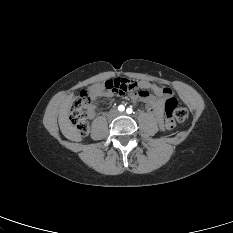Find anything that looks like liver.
<instances>
[{"label": "liver", "instance_id": "1", "mask_svg": "<svg viewBox=\"0 0 233 233\" xmlns=\"http://www.w3.org/2000/svg\"><path fill=\"white\" fill-rule=\"evenodd\" d=\"M73 94L65 97L59 107L58 123L62 134L70 138L74 132V127L69 120V110L72 105Z\"/></svg>", "mask_w": 233, "mask_h": 233}]
</instances>
